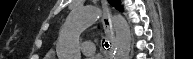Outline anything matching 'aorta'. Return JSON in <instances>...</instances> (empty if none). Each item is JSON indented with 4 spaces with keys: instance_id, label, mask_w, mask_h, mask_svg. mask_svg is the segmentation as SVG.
I'll list each match as a JSON object with an SVG mask.
<instances>
[{
    "instance_id": "obj_1",
    "label": "aorta",
    "mask_w": 193,
    "mask_h": 59,
    "mask_svg": "<svg viewBox=\"0 0 193 59\" xmlns=\"http://www.w3.org/2000/svg\"><path fill=\"white\" fill-rule=\"evenodd\" d=\"M101 16L98 7L89 5L71 11L61 30L57 50L63 59H80L79 37L80 34ZM115 31V59H129L132 35L130 25L122 15L112 17Z\"/></svg>"
}]
</instances>
